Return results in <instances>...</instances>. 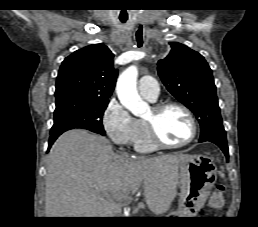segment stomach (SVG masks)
Here are the masks:
<instances>
[{
  "label": "stomach",
  "instance_id": "0dacf381",
  "mask_svg": "<svg viewBox=\"0 0 258 227\" xmlns=\"http://www.w3.org/2000/svg\"><path fill=\"white\" fill-rule=\"evenodd\" d=\"M179 207L167 217L195 215L205 203L216 183L217 173L213 160L203 155H190L179 163Z\"/></svg>",
  "mask_w": 258,
  "mask_h": 227
}]
</instances>
